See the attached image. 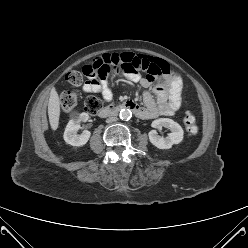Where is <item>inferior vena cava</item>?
Returning <instances> with one entry per match:
<instances>
[{
	"instance_id": "inferior-vena-cava-1",
	"label": "inferior vena cava",
	"mask_w": 248,
	"mask_h": 248,
	"mask_svg": "<svg viewBox=\"0 0 248 248\" xmlns=\"http://www.w3.org/2000/svg\"><path fill=\"white\" fill-rule=\"evenodd\" d=\"M117 119H118L117 117L111 116V117L107 118L106 122L107 123H113V122L117 121Z\"/></svg>"
}]
</instances>
